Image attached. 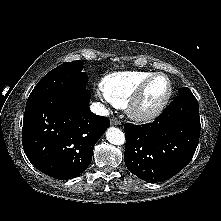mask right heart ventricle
Masks as SVG:
<instances>
[{
  "instance_id": "right-heart-ventricle-1",
  "label": "right heart ventricle",
  "mask_w": 221,
  "mask_h": 221,
  "mask_svg": "<svg viewBox=\"0 0 221 221\" xmlns=\"http://www.w3.org/2000/svg\"><path fill=\"white\" fill-rule=\"evenodd\" d=\"M153 74L150 71H118L105 75L100 81V90L118 108L127 105L140 83Z\"/></svg>"
}]
</instances>
